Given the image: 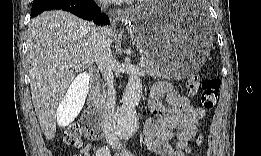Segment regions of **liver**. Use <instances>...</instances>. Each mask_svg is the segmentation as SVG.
Segmentation results:
<instances>
[{"label": "liver", "mask_w": 261, "mask_h": 156, "mask_svg": "<svg viewBox=\"0 0 261 156\" xmlns=\"http://www.w3.org/2000/svg\"><path fill=\"white\" fill-rule=\"evenodd\" d=\"M95 26L75 15L52 10L35 17L27 32V63L32 101L41 129L52 140L57 125L67 126L83 104L72 101V114L65 116L63 107L76 74L95 62L92 31ZM110 45L115 32L107 28ZM73 65V66H72Z\"/></svg>", "instance_id": "liver-1"}]
</instances>
